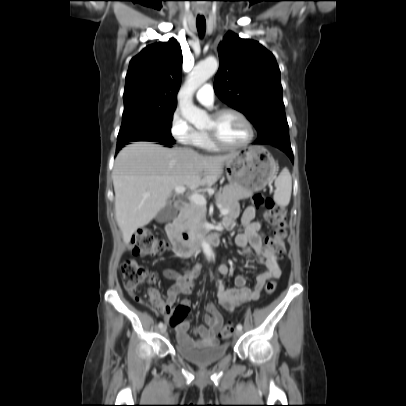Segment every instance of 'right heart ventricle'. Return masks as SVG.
<instances>
[{"label": "right heart ventricle", "instance_id": "obj_1", "mask_svg": "<svg viewBox=\"0 0 406 406\" xmlns=\"http://www.w3.org/2000/svg\"><path fill=\"white\" fill-rule=\"evenodd\" d=\"M196 145L202 149L209 151H214L217 149V147L212 143L209 136L205 132H202L200 139Z\"/></svg>", "mask_w": 406, "mask_h": 406}]
</instances>
